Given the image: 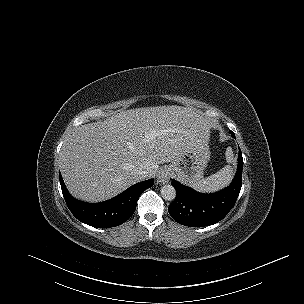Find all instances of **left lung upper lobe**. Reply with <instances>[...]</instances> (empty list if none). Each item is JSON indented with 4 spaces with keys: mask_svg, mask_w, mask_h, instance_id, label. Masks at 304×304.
Returning <instances> with one entry per match:
<instances>
[{
    "mask_svg": "<svg viewBox=\"0 0 304 304\" xmlns=\"http://www.w3.org/2000/svg\"><path fill=\"white\" fill-rule=\"evenodd\" d=\"M235 136L234 133H232V137Z\"/></svg>",
    "mask_w": 304,
    "mask_h": 304,
    "instance_id": "left-lung-upper-lobe-1",
    "label": "left lung upper lobe"
}]
</instances>
